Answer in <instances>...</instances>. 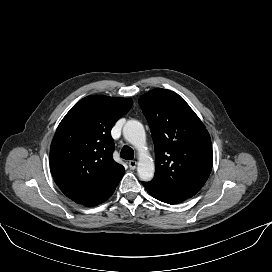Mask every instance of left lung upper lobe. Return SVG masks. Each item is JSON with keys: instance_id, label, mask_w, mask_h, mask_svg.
Listing matches in <instances>:
<instances>
[{"instance_id": "obj_1", "label": "left lung upper lobe", "mask_w": 272, "mask_h": 272, "mask_svg": "<svg viewBox=\"0 0 272 272\" xmlns=\"http://www.w3.org/2000/svg\"><path fill=\"white\" fill-rule=\"evenodd\" d=\"M139 105L155 145V177L145 183L155 192L191 198L207 181L213 163L205 126L178 94L156 88L142 95Z\"/></svg>"}]
</instances>
